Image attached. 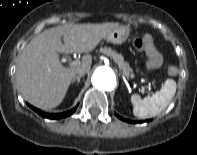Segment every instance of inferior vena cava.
Returning a JSON list of instances; mask_svg holds the SVG:
<instances>
[{
  "label": "inferior vena cava",
  "instance_id": "1",
  "mask_svg": "<svg viewBox=\"0 0 197 155\" xmlns=\"http://www.w3.org/2000/svg\"><path fill=\"white\" fill-rule=\"evenodd\" d=\"M90 68L87 67H82L80 69H78L77 74L78 76H83L85 73H87L89 71Z\"/></svg>",
  "mask_w": 197,
  "mask_h": 155
}]
</instances>
